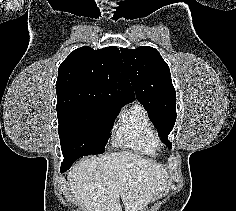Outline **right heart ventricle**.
Here are the masks:
<instances>
[{
    "mask_svg": "<svg viewBox=\"0 0 236 211\" xmlns=\"http://www.w3.org/2000/svg\"><path fill=\"white\" fill-rule=\"evenodd\" d=\"M117 147L146 157H157L160 141L144 107L134 102L121 116L114 132Z\"/></svg>",
    "mask_w": 236,
    "mask_h": 211,
    "instance_id": "1",
    "label": "right heart ventricle"
}]
</instances>
